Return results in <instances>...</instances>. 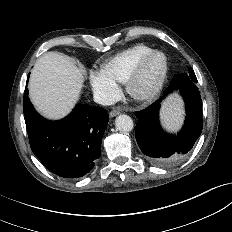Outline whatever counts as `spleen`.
<instances>
[{"mask_svg":"<svg viewBox=\"0 0 232 232\" xmlns=\"http://www.w3.org/2000/svg\"><path fill=\"white\" fill-rule=\"evenodd\" d=\"M181 118V108L177 101L171 102L164 111V120L172 128H176Z\"/></svg>","mask_w":232,"mask_h":232,"instance_id":"1","label":"spleen"}]
</instances>
